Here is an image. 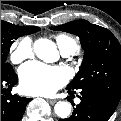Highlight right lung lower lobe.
Masks as SVG:
<instances>
[{"instance_id":"98d812e1","label":"right lung lower lobe","mask_w":121,"mask_h":121,"mask_svg":"<svg viewBox=\"0 0 121 121\" xmlns=\"http://www.w3.org/2000/svg\"><path fill=\"white\" fill-rule=\"evenodd\" d=\"M18 82L14 70L1 72V89L7 86V92L1 95V121H20L26 105L32 98H24L11 94V88ZM5 90L6 89H2Z\"/></svg>"}]
</instances>
